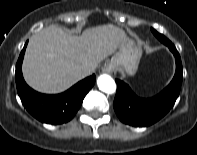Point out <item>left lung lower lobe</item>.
Instances as JSON below:
<instances>
[{"instance_id":"left-lung-lower-lobe-1","label":"left lung lower lobe","mask_w":197,"mask_h":155,"mask_svg":"<svg viewBox=\"0 0 197 155\" xmlns=\"http://www.w3.org/2000/svg\"><path fill=\"white\" fill-rule=\"evenodd\" d=\"M166 46L175 56L176 73L170 84L158 95L148 99L139 98L126 83L116 80L114 110L123 123L135 127L149 126L160 120L173 107L179 96L183 68L175 46L171 42Z\"/></svg>"}]
</instances>
